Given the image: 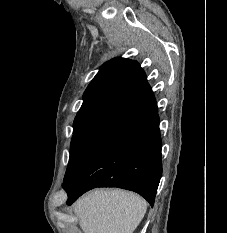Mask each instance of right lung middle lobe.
Returning <instances> with one entry per match:
<instances>
[{"mask_svg":"<svg viewBox=\"0 0 227 233\" xmlns=\"http://www.w3.org/2000/svg\"><path fill=\"white\" fill-rule=\"evenodd\" d=\"M118 135L104 132L73 133L69 164L65 173L63 188H72L96 157Z\"/></svg>","mask_w":227,"mask_h":233,"instance_id":"right-lung-middle-lobe-1","label":"right lung middle lobe"}]
</instances>
